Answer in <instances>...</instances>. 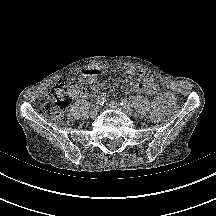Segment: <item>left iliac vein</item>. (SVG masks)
<instances>
[{
    "label": "left iliac vein",
    "mask_w": 216,
    "mask_h": 216,
    "mask_svg": "<svg viewBox=\"0 0 216 216\" xmlns=\"http://www.w3.org/2000/svg\"><path fill=\"white\" fill-rule=\"evenodd\" d=\"M108 106H109L110 108L120 110V111L124 112L125 114H128V115H131V114H132L131 108H125V107L121 106L120 104H118L117 102H114V101H113V102H110V103L108 104Z\"/></svg>",
    "instance_id": "1"
}]
</instances>
